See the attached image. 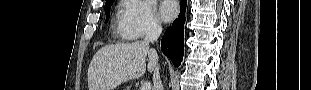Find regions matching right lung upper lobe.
<instances>
[{"instance_id":"obj_1","label":"right lung upper lobe","mask_w":311,"mask_h":90,"mask_svg":"<svg viewBox=\"0 0 311 90\" xmlns=\"http://www.w3.org/2000/svg\"><path fill=\"white\" fill-rule=\"evenodd\" d=\"M112 0H106V3H109V2H111Z\"/></svg>"}]
</instances>
